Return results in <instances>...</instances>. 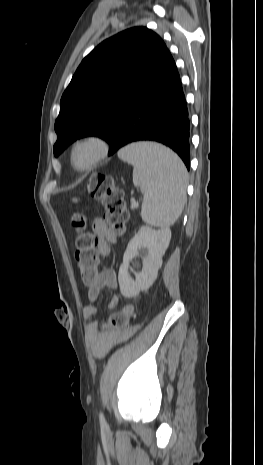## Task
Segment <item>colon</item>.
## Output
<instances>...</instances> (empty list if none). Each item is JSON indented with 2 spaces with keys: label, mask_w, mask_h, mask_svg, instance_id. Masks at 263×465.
<instances>
[{
  "label": "colon",
  "mask_w": 263,
  "mask_h": 465,
  "mask_svg": "<svg viewBox=\"0 0 263 465\" xmlns=\"http://www.w3.org/2000/svg\"><path fill=\"white\" fill-rule=\"evenodd\" d=\"M88 190L93 198L100 200L105 208L104 223L117 235L124 233L128 220V212L122 191L116 187L112 177L94 175L91 177ZM72 227L78 233L75 246V257L84 284L93 285L99 276V260L96 240L86 229V218L78 213L71 218ZM135 314L134 306L125 305L120 311L111 314L103 325L104 331H130L134 329L130 321Z\"/></svg>",
  "instance_id": "1"
}]
</instances>
